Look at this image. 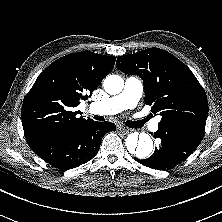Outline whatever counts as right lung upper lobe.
<instances>
[{"label":"right lung upper lobe","mask_w":222,"mask_h":222,"mask_svg":"<svg viewBox=\"0 0 222 222\" xmlns=\"http://www.w3.org/2000/svg\"><path fill=\"white\" fill-rule=\"evenodd\" d=\"M115 57L82 51L66 55L49 65L26 95L22 125L26 140L67 132L90 119L77 117L75 107L88 98L108 75Z\"/></svg>","instance_id":"cb5924a9"}]
</instances>
